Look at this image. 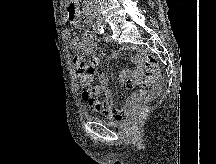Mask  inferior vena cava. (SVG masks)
I'll use <instances>...</instances> for the list:
<instances>
[{"instance_id": "obj_1", "label": "inferior vena cava", "mask_w": 216, "mask_h": 164, "mask_svg": "<svg viewBox=\"0 0 216 164\" xmlns=\"http://www.w3.org/2000/svg\"><path fill=\"white\" fill-rule=\"evenodd\" d=\"M96 4L98 3V0H93Z\"/></svg>"}]
</instances>
